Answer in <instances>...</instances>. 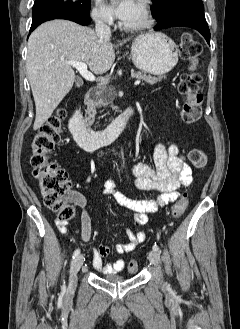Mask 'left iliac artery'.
Segmentation results:
<instances>
[{"instance_id": "obj_1", "label": "left iliac artery", "mask_w": 240, "mask_h": 329, "mask_svg": "<svg viewBox=\"0 0 240 329\" xmlns=\"http://www.w3.org/2000/svg\"><path fill=\"white\" fill-rule=\"evenodd\" d=\"M153 250L157 251V252H160V249H159V247L156 243L153 245Z\"/></svg>"}]
</instances>
